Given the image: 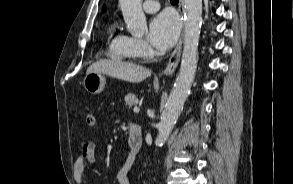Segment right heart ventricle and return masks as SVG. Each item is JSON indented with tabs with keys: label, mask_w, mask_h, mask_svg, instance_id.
I'll use <instances>...</instances> for the list:
<instances>
[{
	"label": "right heart ventricle",
	"mask_w": 293,
	"mask_h": 184,
	"mask_svg": "<svg viewBox=\"0 0 293 184\" xmlns=\"http://www.w3.org/2000/svg\"><path fill=\"white\" fill-rule=\"evenodd\" d=\"M107 55L118 61H131L137 57L131 47L129 37L120 33L116 24L109 28Z\"/></svg>",
	"instance_id": "obj_1"
}]
</instances>
